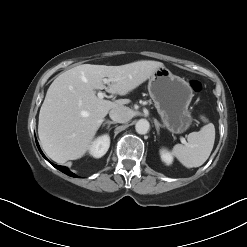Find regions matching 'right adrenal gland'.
Returning <instances> with one entry per match:
<instances>
[{"mask_svg":"<svg viewBox=\"0 0 247 247\" xmlns=\"http://www.w3.org/2000/svg\"><path fill=\"white\" fill-rule=\"evenodd\" d=\"M111 124H116V122L107 120L103 123V127L107 125V129L109 130Z\"/></svg>","mask_w":247,"mask_h":247,"instance_id":"2a0ac1e0","label":"right adrenal gland"}]
</instances>
